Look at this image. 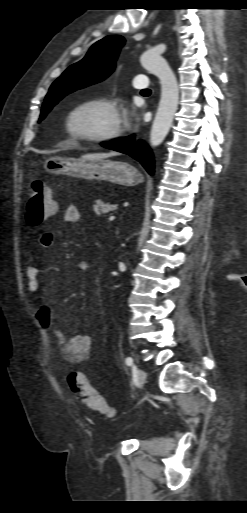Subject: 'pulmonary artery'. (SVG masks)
Instances as JSON below:
<instances>
[{
	"mask_svg": "<svg viewBox=\"0 0 247 513\" xmlns=\"http://www.w3.org/2000/svg\"><path fill=\"white\" fill-rule=\"evenodd\" d=\"M149 85L148 79L145 75H137L133 80V86L136 89H144L147 88Z\"/></svg>",
	"mask_w": 247,
	"mask_h": 513,
	"instance_id": "1",
	"label": "pulmonary artery"
}]
</instances>
